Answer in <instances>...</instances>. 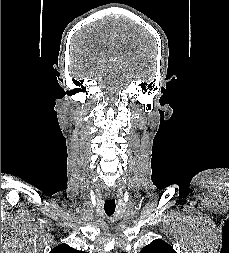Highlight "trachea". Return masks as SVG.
I'll return each mask as SVG.
<instances>
[{
  "mask_svg": "<svg viewBox=\"0 0 229 253\" xmlns=\"http://www.w3.org/2000/svg\"><path fill=\"white\" fill-rule=\"evenodd\" d=\"M115 207H116V205H115V199L114 198L105 200L104 210H105V213L108 216H111V215L114 214Z\"/></svg>",
  "mask_w": 229,
  "mask_h": 253,
  "instance_id": "3493384b",
  "label": "trachea"
}]
</instances>
